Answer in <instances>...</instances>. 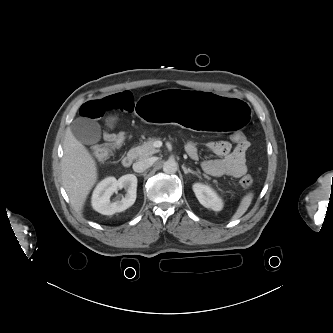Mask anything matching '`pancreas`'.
Returning a JSON list of instances; mask_svg holds the SVG:
<instances>
[{"instance_id":"pancreas-1","label":"pancreas","mask_w":333,"mask_h":333,"mask_svg":"<svg viewBox=\"0 0 333 333\" xmlns=\"http://www.w3.org/2000/svg\"><path fill=\"white\" fill-rule=\"evenodd\" d=\"M157 140L156 138H149L146 142H144L142 145L132 148L128 155L133 159H145L153 154L159 152V149L154 147V142ZM206 178H209L206 174H204ZM217 183L216 181H214Z\"/></svg>"}]
</instances>
